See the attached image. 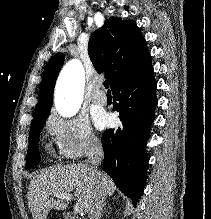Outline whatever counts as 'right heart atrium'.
Returning <instances> with one entry per match:
<instances>
[{"instance_id":"d8ad5b80","label":"right heart atrium","mask_w":211,"mask_h":219,"mask_svg":"<svg viewBox=\"0 0 211 219\" xmlns=\"http://www.w3.org/2000/svg\"><path fill=\"white\" fill-rule=\"evenodd\" d=\"M46 131L64 159L75 160L100 149V141L84 117H63L52 112L46 120Z\"/></svg>"}]
</instances>
